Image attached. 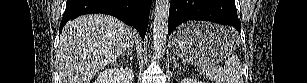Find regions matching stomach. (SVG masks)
Masks as SVG:
<instances>
[{"instance_id":"stomach-1","label":"stomach","mask_w":307,"mask_h":83,"mask_svg":"<svg viewBox=\"0 0 307 83\" xmlns=\"http://www.w3.org/2000/svg\"><path fill=\"white\" fill-rule=\"evenodd\" d=\"M238 45L239 37L235 30L210 22L183 24L172 39L173 52L184 61L199 66L222 61Z\"/></svg>"}]
</instances>
